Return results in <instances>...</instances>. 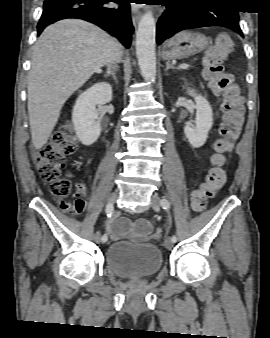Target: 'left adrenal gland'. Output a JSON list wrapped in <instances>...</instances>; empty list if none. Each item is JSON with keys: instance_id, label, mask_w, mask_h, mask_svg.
<instances>
[{"instance_id": "obj_1", "label": "left adrenal gland", "mask_w": 270, "mask_h": 338, "mask_svg": "<svg viewBox=\"0 0 270 338\" xmlns=\"http://www.w3.org/2000/svg\"><path fill=\"white\" fill-rule=\"evenodd\" d=\"M175 67L172 65V64H170L169 62H167L166 63V69H165V71H168V69H174Z\"/></svg>"}]
</instances>
